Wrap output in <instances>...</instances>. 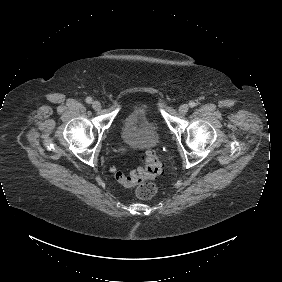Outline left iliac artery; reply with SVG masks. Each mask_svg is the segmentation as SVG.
<instances>
[{
  "mask_svg": "<svg viewBox=\"0 0 282 282\" xmlns=\"http://www.w3.org/2000/svg\"><path fill=\"white\" fill-rule=\"evenodd\" d=\"M195 105H196L195 102H193V101H190V102H189V106H190L191 108L195 107Z\"/></svg>",
  "mask_w": 282,
  "mask_h": 282,
  "instance_id": "1",
  "label": "left iliac artery"
}]
</instances>
